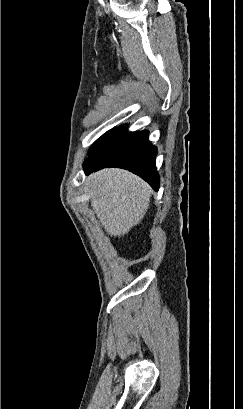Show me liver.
<instances>
[{
  "label": "liver",
  "instance_id": "6515ba94",
  "mask_svg": "<svg viewBox=\"0 0 243 409\" xmlns=\"http://www.w3.org/2000/svg\"><path fill=\"white\" fill-rule=\"evenodd\" d=\"M86 185L91 193V207L110 236L127 234L149 208L151 188L126 170H100L87 178Z\"/></svg>",
  "mask_w": 243,
  "mask_h": 409
}]
</instances>
